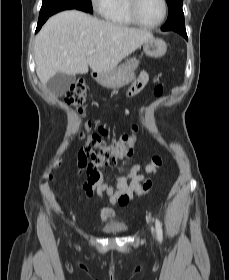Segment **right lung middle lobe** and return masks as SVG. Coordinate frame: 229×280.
<instances>
[{
  "instance_id": "right-lung-middle-lobe-1",
  "label": "right lung middle lobe",
  "mask_w": 229,
  "mask_h": 280,
  "mask_svg": "<svg viewBox=\"0 0 229 280\" xmlns=\"http://www.w3.org/2000/svg\"><path fill=\"white\" fill-rule=\"evenodd\" d=\"M61 5H70L76 8H80L88 13H93L90 0H43L40 12L53 9Z\"/></svg>"
}]
</instances>
